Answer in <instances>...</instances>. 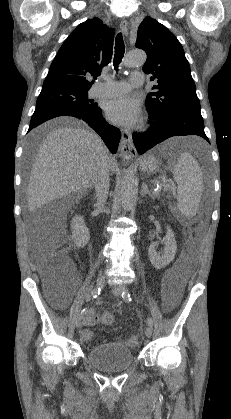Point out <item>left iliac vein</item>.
I'll use <instances>...</instances> for the list:
<instances>
[{
    "instance_id": "obj_1",
    "label": "left iliac vein",
    "mask_w": 231,
    "mask_h": 419,
    "mask_svg": "<svg viewBox=\"0 0 231 419\" xmlns=\"http://www.w3.org/2000/svg\"><path fill=\"white\" fill-rule=\"evenodd\" d=\"M123 289H124V286L123 285L116 284V285L113 286V293L116 296H120L121 293H122V291H123ZM145 335L147 337H151V335H152V328L150 326L146 327V329H145Z\"/></svg>"
}]
</instances>
